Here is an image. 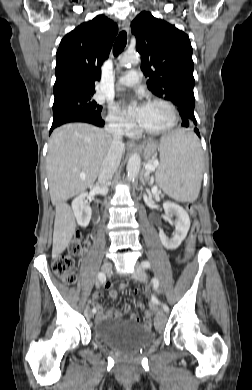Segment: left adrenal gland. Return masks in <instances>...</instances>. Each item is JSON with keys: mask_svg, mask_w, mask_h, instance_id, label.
I'll return each mask as SVG.
<instances>
[{"mask_svg": "<svg viewBox=\"0 0 252 390\" xmlns=\"http://www.w3.org/2000/svg\"><path fill=\"white\" fill-rule=\"evenodd\" d=\"M145 181H146V178H145V180H142L143 184H145Z\"/></svg>", "mask_w": 252, "mask_h": 390, "instance_id": "obj_1", "label": "left adrenal gland"}]
</instances>
